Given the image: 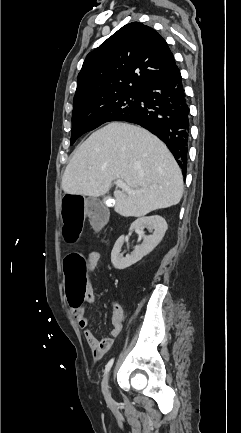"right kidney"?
<instances>
[{
    "label": "right kidney",
    "instance_id": "1",
    "mask_svg": "<svg viewBox=\"0 0 241 433\" xmlns=\"http://www.w3.org/2000/svg\"><path fill=\"white\" fill-rule=\"evenodd\" d=\"M145 228L150 231L154 230L152 235L144 236L143 242L139 246H136L134 251L126 257H123V254L120 253L126 237L123 235L117 239L111 252V262L116 269H126L149 254L163 239L168 225L163 217L153 215L138 218L132 223L129 231L135 230L143 235Z\"/></svg>",
    "mask_w": 241,
    "mask_h": 433
}]
</instances>
